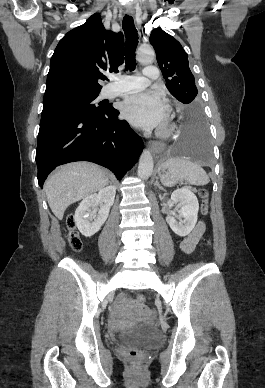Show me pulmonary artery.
Listing matches in <instances>:
<instances>
[{
    "instance_id": "1",
    "label": "pulmonary artery",
    "mask_w": 265,
    "mask_h": 388,
    "mask_svg": "<svg viewBox=\"0 0 265 388\" xmlns=\"http://www.w3.org/2000/svg\"><path fill=\"white\" fill-rule=\"evenodd\" d=\"M145 77L141 75H115L114 80L118 83H113L111 96L121 95L128 91V94H141L143 87L148 86L149 82H158L160 77L155 64H146Z\"/></svg>"
}]
</instances>
